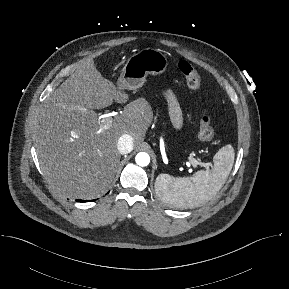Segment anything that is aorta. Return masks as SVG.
Masks as SVG:
<instances>
[{"instance_id":"1","label":"aorta","mask_w":289,"mask_h":289,"mask_svg":"<svg viewBox=\"0 0 289 289\" xmlns=\"http://www.w3.org/2000/svg\"><path fill=\"white\" fill-rule=\"evenodd\" d=\"M135 161L139 166L145 167L150 163V156L146 152H140L136 155Z\"/></svg>"}]
</instances>
